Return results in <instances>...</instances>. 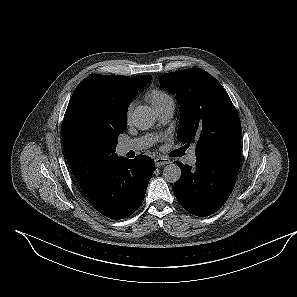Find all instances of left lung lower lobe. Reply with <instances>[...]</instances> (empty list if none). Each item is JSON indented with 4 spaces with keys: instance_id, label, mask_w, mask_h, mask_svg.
Instances as JSON below:
<instances>
[{
    "instance_id": "1",
    "label": "left lung lower lobe",
    "mask_w": 297,
    "mask_h": 297,
    "mask_svg": "<svg viewBox=\"0 0 297 297\" xmlns=\"http://www.w3.org/2000/svg\"><path fill=\"white\" fill-rule=\"evenodd\" d=\"M196 158L194 168L177 163L182 175L173 189L184 209L205 217L218 211L234 188L241 158L240 141Z\"/></svg>"
}]
</instances>
